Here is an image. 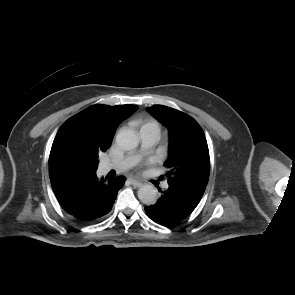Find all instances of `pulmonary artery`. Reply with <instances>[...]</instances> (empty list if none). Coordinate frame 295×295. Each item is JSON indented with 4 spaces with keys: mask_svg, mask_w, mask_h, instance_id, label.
<instances>
[{
    "mask_svg": "<svg viewBox=\"0 0 295 295\" xmlns=\"http://www.w3.org/2000/svg\"><path fill=\"white\" fill-rule=\"evenodd\" d=\"M139 134H140L141 145L143 150L150 149L152 146L155 145V143L158 140L157 134H155L153 131L148 129H140ZM136 161H137V155L130 154L119 160L104 162L101 165V169L103 172H108L110 170L124 171L132 167L136 163ZM163 187L167 188L168 184L165 183Z\"/></svg>",
    "mask_w": 295,
    "mask_h": 295,
    "instance_id": "e3ab8cb5",
    "label": "pulmonary artery"
}]
</instances>
